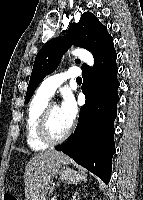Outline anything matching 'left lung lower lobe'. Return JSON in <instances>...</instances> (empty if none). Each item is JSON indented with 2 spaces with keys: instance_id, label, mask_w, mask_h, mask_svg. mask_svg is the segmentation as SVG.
<instances>
[{
  "instance_id": "obj_1",
  "label": "left lung lower lobe",
  "mask_w": 143,
  "mask_h": 200,
  "mask_svg": "<svg viewBox=\"0 0 143 200\" xmlns=\"http://www.w3.org/2000/svg\"><path fill=\"white\" fill-rule=\"evenodd\" d=\"M116 57L112 39L95 57L93 68H82V90L86 103L80 109L79 124L74 133L56 148L106 184L111 178L115 153L113 124L119 102Z\"/></svg>"
}]
</instances>
